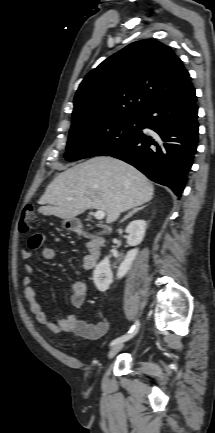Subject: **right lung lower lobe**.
Returning a JSON list of instances; mask_svg holds the SVG:
<instances>
[{"label": "right lung lower lobe", "mask_w": 215, "mask_h": 433, "mask_svg": "<svg viewBox=\"0 0 215 433\" xmlns=\"http://www.w3.org/2000/svg\"><path fill=\"white\" fill-rule=\"evenodd\" d=\"M195 89L191 82L154 103L142 115L140 133L105 156L121 159L180 197L198 145ZM155 133L147 135L142 129Z\"/></svg>", "instance_id": "obj_1"}]
</instances>
